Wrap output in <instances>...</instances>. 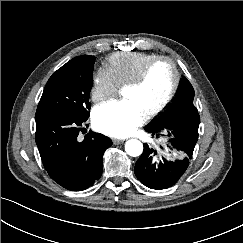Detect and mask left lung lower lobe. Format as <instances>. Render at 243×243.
I'll return each instance as SVG.
<instances>
[{"mask_svg": "<svg viewBox=\"0 0 243 243\" xmlns=\"http://www.w3.org/2000/svg\"><path fill=\"white\" fill-rule=\"evenodd\" d=\"M179 117L175 116L167 121L168 136L170 138V148L177 151L182 157L181 160L171 161L166 159V155L162 156L160 151L150 148L148 144H144V152L135 164V175L145 186L152 189H165L174 185L184 174L192 157L195 144L198 140V120L181 123L182 116L198 112L193 104L186 108H180ZM199 115V114H198ZM198 119V118H197ZM159 127L150 125L145 127V131L151 133L152 136H159V132L164 130ZM162 150L163 147L160 146Z\"/></svg>", "mask_w": 243, "mask_h": 243, "instance_id": "left-lung-lower-lobe-1", "label": "left lung lower lobe"}]
</instances>
